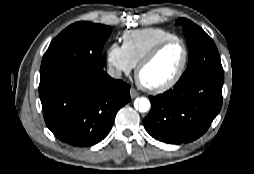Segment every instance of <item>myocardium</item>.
Segmentation results:
<instances>
[{
    "label": "myocardium",
    "instance_id": "obj_1",
    "mask_svg": "<svg viewBox=\"0 0 254 174\" xmlns=\"http://www.w3.org/2000/svg\"><path fill=\"white\" fill-rule=\"evenodd\" d=\"M174 42H178L183 46L184 49V56H183V60L181 63L180 68L178 69L177 73L167 82L162 83L160 85H147L145 83H143L140 80V72L142 71L143 68H145L148 64H150L158 55L159 53L168 45L174 43ZM188 60H189V48L188 45L186 44V42L179 37H175V38H171V39H167L164 40L160 43H158L157 45H155L137 64L136 67V71H135V77L136 80L138 82V84L145 90L152 92V93H163L169 89H171L172 87H174L182 78V76L185 73V70L187 68L188 65Z\"/></svg>",
    "mask_w": 254,
    "mask_h": 174
}]
</instances>
